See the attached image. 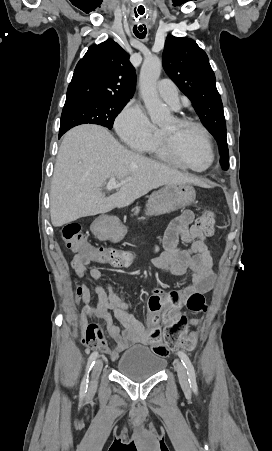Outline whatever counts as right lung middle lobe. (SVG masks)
Returning <instances> with one entry per match:
<instances>
[{"label":"right lung middle lobe","mask_w":272,"mask_h":451,"mask_svg":"<svg viewBox=\"0 0 272 451\" xmlns=\"http://www.w3.org/2000/svg\"><path fill=\"white\" fill-rule=\"evenodd\" d=\"M127 101L97 98H82L65 102L59 130L61 137L70 128L80 124H98L108 129Z\"/></svg>","instance_id":"dd1d6c3e"}]
</instances>
